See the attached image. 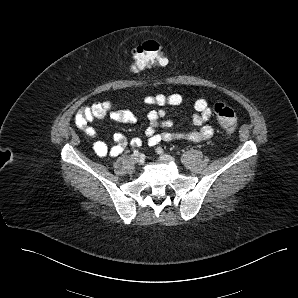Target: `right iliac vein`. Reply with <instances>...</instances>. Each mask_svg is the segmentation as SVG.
<instances>
[{
    "label": "right iliac vein",
    "instance_id": "1",
    "mask_svg": "<svg viewBox=\"0 0 298 298\" xmlns=\"http://www.w3.org/2000/svg\"><path fill=\"white\" fill-rule=\"evenodd\" d=\"M130 160L132 163L136 164L139 162L140 159H139L138 155L133 154V155H131Z\"/></svg>",
    "mask_w": 298,
    "mask_h": 298
}]
</instances>
